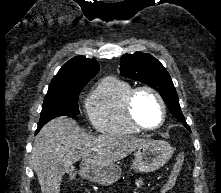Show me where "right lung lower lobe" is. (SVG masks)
Masks as SVG:
<instances>
[{
  "label": "right lung lower lobe",
  "mask_w": 221,
  "mask_h": 193,
  "mask_svg": "<svg viewBox=\"0 0 221 193\" xmlns=\"http://www.w3.org/2000/svg\"><path fill=\"white\" fill-rule=\"evenodd\" d=\"M41 128H42V127H38L37 130H36V133H37Z\"/></svg>",
  "instance_id": "right-lung-lower-lobe-1"
}]
</instances>
